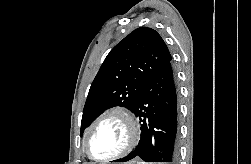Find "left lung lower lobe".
<instances>
[{
    "mask_svg": "<svg viewBox=\"0 0 251 164\" xmlns=\"http://www.w3.org/2000/svg\"><path fill=\"white\" fill-rule=\"evenodd\" d=\"M133 113L141 123L137 148L122 160L140 157L145 162L177 160L178 92L171 61L145 85Z\"/></svg>",
    "mask_w": 251,
    "mask_h": 164,
    "instance_id": "1",
    "label": "left lung lower lobe"
}]
</instances>
